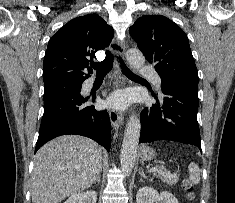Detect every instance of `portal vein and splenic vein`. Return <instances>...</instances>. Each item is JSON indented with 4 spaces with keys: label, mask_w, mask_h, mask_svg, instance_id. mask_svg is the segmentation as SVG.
<instances>
[{
    "label": "portal vein and splenic vein",
    "mask_w": 235,
    "mask_h": 203,
    "mask_svg": "<svg viewBox=\"0 0 235 203\" xmlns=\"http://www.w3.org/2000/svg\"><path fill=\"white\" fill-rule=\"evenodd\" d=\"M150 171H152V172H161V173L165 174V176H168V177L172 176L171 172H165V173L162 172L160 167L151 168Z\"/></svg>",
    "instance_id": "18ae733b"
}]
</instances>
